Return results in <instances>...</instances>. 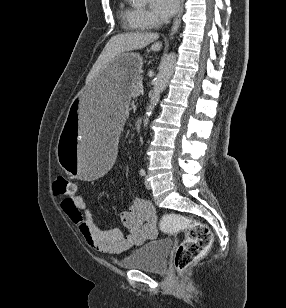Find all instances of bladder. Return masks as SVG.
I'll return each instance as SVG.
<instances>
[{
    "mask_svg": "<svg viewBox=\"0 0 286 308\" xmlns=\"http://www.w3.org/2000/svg\"><path fill=\"white\" fill-rule=\"evenodd\" d=\"M170 247L171 243L169 240H154L138 247L122 258L119 263L124 269H135L152 273L164 272L167 268V257Z\"/></svg>",
    "mask_w": 286,
    "mask_h": 308,
    "instance_id": "1",
    "label": "bladder"
}]
</instances>
